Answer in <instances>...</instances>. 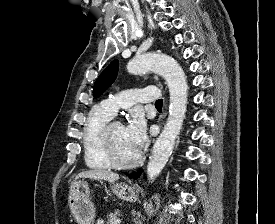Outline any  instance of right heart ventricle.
<instances>
[{
    "label": "right heart ventricle",
    "mask_w": 275,
    "mask_h": 224,
    "mask_svg": "<svg viewBox=\"0 0 275 224\" xmlns=\"http://www.w3.org/2000/svg\"><path fill=\"white\" fill-rule=\"evenodd\" d=\"M112 118L101 106L95 107L88 115L83 127V153L87 167L95 170L110 169L100 144V134Z\"/></svg>",
    "instance_id": "right-heart-ventricle-1"
}]
</instances>
